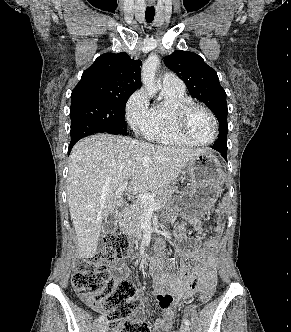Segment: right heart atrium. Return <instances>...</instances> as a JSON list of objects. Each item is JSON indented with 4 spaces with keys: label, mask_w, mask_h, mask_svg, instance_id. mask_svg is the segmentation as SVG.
<instances>
[{
    "label": "right heart atrium",
    "mask_w": 291,
    "mask_h": 332,
    "mask_svg": "<svg viewBox=\"0 0 291 332\" xmlns=\"http://www.w3.org/2000/svg\"><path fill=\"white\" fill-rule=\"evenodd\" d=\"M126 118L133 129L144 127L149 118V104L146 93L139 89L126 104Z\"/></svg>",
    "instance_id": "d8ad5b80"
}]
</instances>
